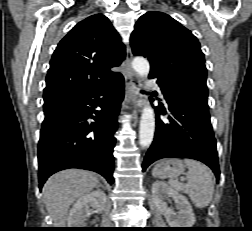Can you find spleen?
<instances>
[{"label": "spleen", "instance_id": "spleen-1", "mask_svg": "<svg viewBox=\"0 0 252 231\" xmlns=\"http://www.w3.org/2000/svg\"><path fill=\"white\" fill-rule=\"evenodd\" d=\"M188 166L186 184L170 179L169 184L178 192L185 193L189 196L197 208H204L210 204L214 193V182L210 170L196 160L185 159Z\"/></svg>", "mask_w": 252, "mask_h": 231}]
</instances>
